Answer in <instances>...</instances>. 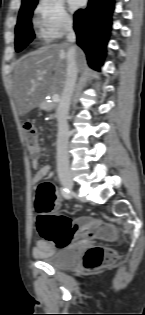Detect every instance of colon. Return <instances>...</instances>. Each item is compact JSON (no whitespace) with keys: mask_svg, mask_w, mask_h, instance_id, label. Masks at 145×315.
<instances>
[{"mask_svg":"<svg viewBox=\"0 0 145 315\" xmlns=\"http://www.w3.org/2000/svg\"><path fill=\"white\" fill-rule=\"evenodd\" d=\"M27 148L31 153L38 151L35 126L26 122L22 126ZM59 197L54 184L41 183L36 190L35 208L39 214L37 228L47 241L62 247L76 238L109 239L115 234L114 228L95 218L82 217L76 220L55 213ZM115 253L101 246L90 247L83 256V266L87 270H98L111 265Z\"/></svg>","mask_w":145,"mask_h":315,"instance_id":"colon-1","label":"colon"}]
</instances>
